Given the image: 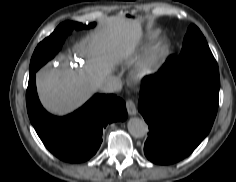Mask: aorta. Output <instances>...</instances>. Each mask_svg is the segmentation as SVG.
I'll list each match as a JSON object with an SVG mask.
<instances>
[{"label":"aorta","mask_w":236,"mask_h":182,"mask_svg":"<svg viewBox=\"0 0 236 182\" xmlns=\"http://www.w3.org/2000/svg\"><path fill=\"white\" fill-rule=\"evenodd\" d=\"M129 133L135 138H143L148 133L147 123L140 118H130L127 123Z\"/></svg>","instance_id":"1"}]
</instances>
